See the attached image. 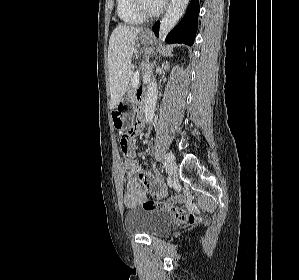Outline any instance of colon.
I'll return each mask as SVG.
<instances>
[{
	"instance_id": "5ec220e1",
	"label": "colon",
	"mask_w": 299,
	"mask_h": 280,
	"mask_svg": "<svg viewBox=\"0 0 299 280\" xmlns=\"http://www.w3.org/2000/svg\"><path fill=\"white\" fill-rule=\"evenodd\" d=\"M134 136L132 129H129L120 135V147L125 156L122 165V178L127 179L130 177L137 168V163L132 155L131 141ZM144 210H160L169 213L178 223L193 224L198 220V217L189 213L183 208L170 205L166 202H154L151 200L146 201L142 205Z\"/></svg>"
}]
</instances>
